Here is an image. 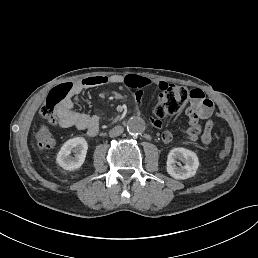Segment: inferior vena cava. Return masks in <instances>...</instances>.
<instances>
[{"label":"inferior vena cava","instance_id":"1","mask_svg":"<svg viewBox=\"0 0 258 258\" xmlns=\"http://www.w3.org/2000/svg\"><path fill=\"white\" fill-rule=\"evenodd\" d=\"M124 128L122 126H116L109 131L110 137H117L123 133Z\"/></svg>","mask_w":258,"mask_h":258}]
</instances>
